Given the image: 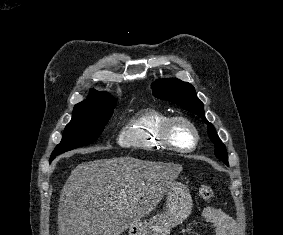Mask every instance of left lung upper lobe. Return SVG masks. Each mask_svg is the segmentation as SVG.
Listing matches in <instances>:
<instances>
[{"label": "left lung upper lobe", "instance_id": "5c2ea615", "mask_svg": "<svg viewBox=\"0 0 283 235\" xmlns=\"http://www.w3.org/2000/svg\"><path fill=\"white\" fill-rule=\"evenodd\" d=\"M152 89L155 97L173 102L201 117L208 124V134L215 144L216 157L228 165V155L225 145L218 137L213 125L206 120L203 103L198 99L194 87L188 82L171 78L156 80L152 84Z\"/></svg>", "mask_w": 283, "mask_h": 235}]
</instances>
